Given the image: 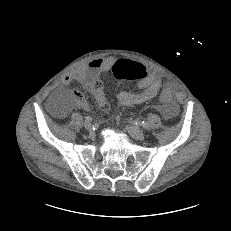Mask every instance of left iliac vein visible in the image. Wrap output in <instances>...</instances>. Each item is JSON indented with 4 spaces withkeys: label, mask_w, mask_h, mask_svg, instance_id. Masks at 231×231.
Returning a JSON list of instances; mask_svg holds the SVG:
<instances>
[{
    "label": "left iliac vein",
    "mask_w": 231,
    "mask_h": 231,
    "mask_svg": "<svg viewBox=\"0 0 231 231\" xmlns=\"http://www.w3.org/2000/svg\"><path fill=\"white\" fill-rule=\"evenodd\" d=\"M127 131L134 139H137V140L144 139V133L136 127L127 126Z\"/></svg>",
    "instance_id": "4c4485c4"
}]
</instances>
